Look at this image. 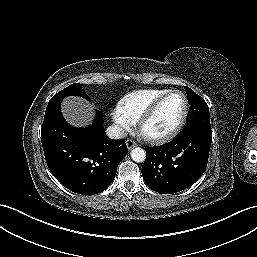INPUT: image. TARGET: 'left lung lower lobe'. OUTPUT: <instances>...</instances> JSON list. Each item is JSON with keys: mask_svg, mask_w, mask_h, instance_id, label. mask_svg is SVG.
<instances>
[{"mask_svg": "<svg viewBox=\"0 0 257 257\" xmlns=\"http://www.w3.org/2000/svg\"><path fill=\"white\" fill-rule=\"evenodd\" d=\"M212 142L211 128L184 129L171 142L146 148L142 175L153 191L173 194L194 184L204 173Z\"/></svg>", "mask_w": 257, "mask_h": 257, "instance_id": "0a47b994", "label": "left lung lower lobe"}]
</instances>
